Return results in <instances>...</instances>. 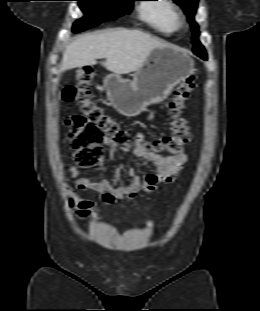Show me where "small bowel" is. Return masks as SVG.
<instances>
[{"mask_svg":"<svg viewBox=\"0 0 260 311\" xmlns=\"http://www.w3.org/2000/svg\"><path fill=\"white\" fill-rule=\"evenodd\" d=\"M151 121H157L161 116L152 112L149 116ZM144 134L138 132L135 136V147L133 154L136 158L150 163L155 169V173L146 174L141 177L137 174L135 168L131 167L127 170L130 181L126 185L120 184L121 165H118L111 178L100 181L93 180L89 176L76 177L80 169L76 165H70L67 168L68 176L66 181L75 178V187L66 185L71 206H76L75 215L79 219H86L98 211L97 204L92 200L81 199L80 191L99 194L101 200L112 205L118 201H132L140 195L154 192L160 184H168L175 180L181 172L184 164L188 160L185 153L178 155L161 156L144 148ZM108 148L111 156H115L118 152L119 145L110 139H106L103 143Z\"/></svg>","mask_w":260,"mask_h":311,"instance_id":"obj_1","label":"small bowel"}]
</instances>
